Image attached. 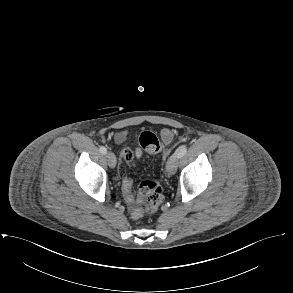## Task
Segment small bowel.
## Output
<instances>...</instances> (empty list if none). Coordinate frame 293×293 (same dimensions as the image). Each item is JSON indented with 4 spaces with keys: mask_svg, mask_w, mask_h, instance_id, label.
<instances>
[{
    "mask_svg": "<svg viewBox=\"0 0 293 293\" xmlns=\"http://www.w3.org/2000/svg\"><path fill=\"white\" fill-rule=\"evenodd\" d=\"M162 136H163V139L166 143L171 142L173 139V134L168 131L163 132ZM127 137H128V134L126 131H119V132L115 133V135H114V142L116 144H122L127 139ZM142 156H143V151L140 147H137L134 150L124 149L122 152V157L126 162L140 160L142 158ZM125 199L129 205V202H128V199L126 196H125ZM129 207H130V205H129Z\"/></svg>",
    "mask_w": 293,
    "mask_h": 293,
    "instance_id": "obj_1",
    "label": "small bowel"
}]
</instances>
